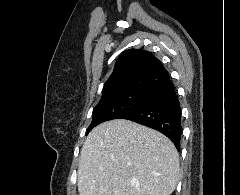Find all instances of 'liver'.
<instances>
[{"label":"liver","instance_id":"6515ba94","mask_svg":"<svg viewBox=\"0 0 240 195\" xmlns=\"http://www.w3.org/2000/svg\"><path fill=\"white\" fill-rule=\"evenodd\" d=\"M172 141L146 125L110 119L91 129L80 151V195H170L179 179Z\"/></svg>","mask_w":240,"mask_h":195}]
</instances>
